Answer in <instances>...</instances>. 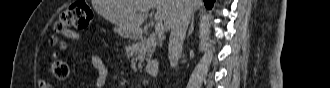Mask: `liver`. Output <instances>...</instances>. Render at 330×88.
Wrapping results in <instances>:
<instances>
[{"label":"liver","instance_id":"liver-1","mask_svg":"<svg viewBox=\"0 0 330 88\" xmlns=\"http://www.w3.org/2000/svg\"><path fill=\"white\" fill-rule=\"evenodd\" d=\"M95 9L105 19L115 24L117 31L125 36L136 32L148 15L146 11L156 8L154 19L164 22L166 31L170 30L180 9L185 5L196 11L202 5L201 0H93ZM139 11V13H137Z\"/></svg>","mask_w":330,"mask_h":88}]
</instances>
